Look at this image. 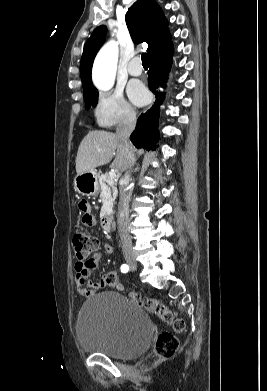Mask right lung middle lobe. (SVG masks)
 <instances>
[{
  "mask_svg": "<svg viewBox=\"0 0 267 391\" xmlns=\"http://www.w3.org/2000/svg\"><path fill=\"white\" fill-rule=\"evenodd\" d=\"M85 107L89 109L91 106H96L98 102V91L97 89L84 92Z\"/></svg>",
  "mask_w": 267,
  "mask_h": 391,
  "instance_id": "1",
  "label": "right lung middle lobe"
}]
</instances>
